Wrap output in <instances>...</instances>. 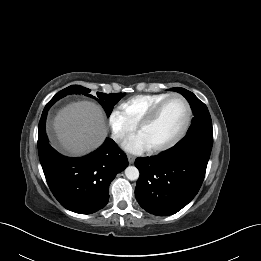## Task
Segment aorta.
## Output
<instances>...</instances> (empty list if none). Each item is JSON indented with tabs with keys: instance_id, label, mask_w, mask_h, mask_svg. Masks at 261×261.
<instances>
[{
	"instance_id": "762f6f07",
	"label": "aorta",
	"mask_w": 261,
	"mask_h": 261,
	"mask_svg": "<svg viewBox=\"0 0 261 261\" xmlns=\"http://www.w3.org/2000/svg\"><path fill=\"white\" fill-rule=\"evenodd\" d=\"M125 176L131 181L137 180L139 178V170L135 166H128L125 169Z\"/></svg>"
}]
</instances>
